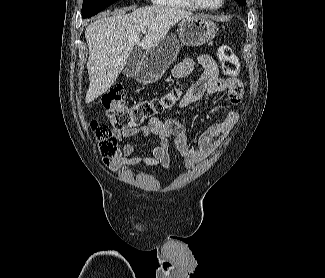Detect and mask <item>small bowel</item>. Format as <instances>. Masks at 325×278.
<instances>
[{
  "label": "small bowel",
  "instance_id": "obj_1",
  "mask_svg": "<svg viewBox=\"0 0 325 278\" xmlns=\"http://www.w3.org/2000/svg\"><path fill=\"white\" fill-rule=\"evenodd\" d=\"M196 64L203 68L198 81L192 85L179 101L177 108L184 109L199 101L205 94L226 93L232 104H238L243 95V84L237 78L219 77L215 60L207 54H202L196 60L186 58L178 63L172 70V76L181 78L189 75ZM239 114L235 110L226 112L220 122L213 123L200 135L195 145L191 144L184 127L175 119L152 118L146 125L127 129H113L112 133L117 141L132 136L155 135L158 145L147 148L149 155L137 154V147L126 143L114 154L112 169L114 171L124 166L145 164L168 170L170 167V139L173 138L175 147L184 157L185 166L192 169L195 163L204 155L211 153L216 145L214 142L225 136L238 121Z\"/></svg>",
  "mask_w": 325,
  "mask_h": 278
}]
</instances>
